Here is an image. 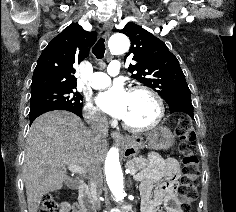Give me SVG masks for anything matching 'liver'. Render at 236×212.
I'll return each mask as SVG.
<instances>
[{"label":"liver","instance_id":"liver-1","mask_svg":"<svg viewBox=\"0 0 236 212\" xmlns=\"http://www.w3.org/2000/svg\"><path fill=\"white\" fill-rule=\"evenodd\" d=\"M107 141H94L83 121L68 111H52L39 116L31 125L23 164L29 212H37L42 197L60 190L73 179L65 167L76 165L85 172L101 166Z\"/></svg>","mask_w":236,"mask_h":212}]
</instances>
